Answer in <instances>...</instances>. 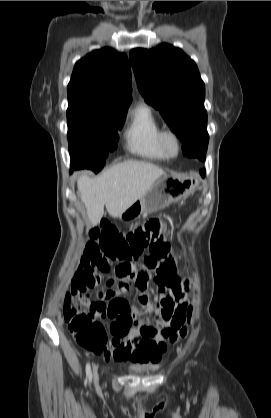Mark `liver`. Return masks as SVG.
Listing matches in <instances>:
<instances>
[{"label": "liver", "mask_w": 271, "mask_h": 418, "mask_svg": "<svg viewBox=\"0 0 271 418\" xmlns=\"http://www.w3.org/2000/svg\"><path fill=\"white\" fill-rule=\"evenodd\" d=\"M163 175L160 167L135 160L118 163L97 178L82 172L77 186L91 226L101 221L104 206L111 217L118 218Z\"/></svg>", "instance_id": "1"}]
</instances>
